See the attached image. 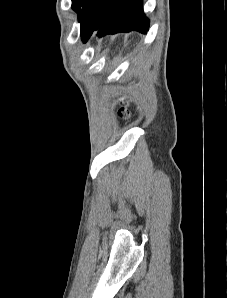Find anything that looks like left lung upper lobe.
<instances>
[{
    "instance_id": "left-lung-upper-lobe-1",
    "label": "left lung upper lobe",
    "mask_w": 227,
    "mask_h": 298,
    "mask_svg": "<svg viewBox=\"0 0 227 298\" xmlns=\"http://www.w3.org/2000/svg\"><path fill=\"white\" fill-rule=\"evenodd\" d=\"M107 0H72V8L78 13L82 39L87 36L100 19Z\"/></svg>"
}]
</instances>
